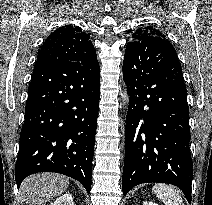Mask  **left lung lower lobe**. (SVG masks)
Wrapping results in <instances>:
<instances>
[{
	"instance_id": "0a47b994",
	"label": "left lung lower lobe",
	"mask_w": 212,
	"mask_h": 205,
	"mask_svg": "<svg viewBox=\"0 0 212 205\" xmlns=\"http://www.w3.org/2000/svg\"><path fill=\"white\" fill-rule=\"evenodd\" d=\"M129 106L122 191L141 183L179 187L191 202L189 108L173 45L149 36L127 44L123 61Z\"/></svg>"
}]
</instances>
